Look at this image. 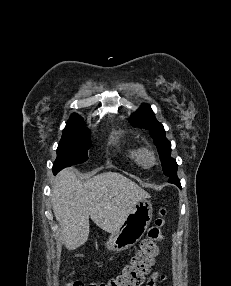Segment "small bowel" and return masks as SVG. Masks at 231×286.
I'll use <instances>...</instances> for the list:
<instances>
[{
	"label": "small bowel",
	"instance_id": "small-bowel-1",
	"mask_svg": "<svg viewBox=\"0 0 231 286\" xmlns=\"http://www.w3.org/2000/svg\"><path fill=\"white\" fill-rule=\"evenodd\" d=\"M164 277L159 272H153L152 275L146 282V286H156L159 279H163Z\"/></svg>",
	"mask_w": 231,
	"mask_h": 286
}]
</instances>
